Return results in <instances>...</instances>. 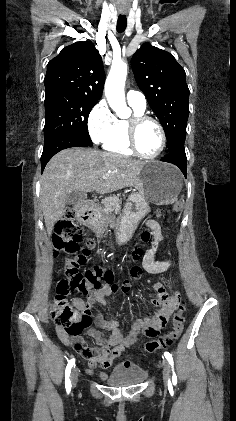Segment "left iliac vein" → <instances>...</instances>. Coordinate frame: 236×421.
Returning <instances> with one entry per match:
<instances>
[{
    "label": "left iliac vein",
    "instance_id": "1",
    "mask_svg": "<svg viewBox=\"0 0 236 421\" xmlns=\"http://www.w3.org/2000/svg\"><path fill=\"white\" fill-rule=\"evenodd\" d=\"M170 370L171 369H170L169 363L166 360H164V364H163V379H164L165 385H167L168 382H169Z\"/></svg>",
    "mask_w": 236,
    "mask_h": 421
}]
</instances>
